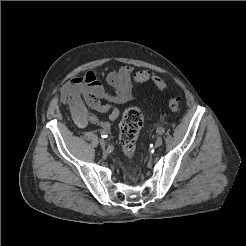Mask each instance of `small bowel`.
<instances>
[{"label":"small bowel","instance_id":"small-bowel-1","mask_svg":"<svg viewBox=\"0 0 246 246\" xmlns=\"http://www.w3.org/2000/svg\"><path fill=\"white\" fill-rule=\"evenodd\" d=\"M131 75L129 66L109 72L106 81L113 89L109 93L99 81L98 74L88 71L65 86L61 100L70 106L73 120L79 127L95 124L109 130L120 115L118 106L133 100ZM90 110L107 113L109 120L99 119Z\"/></svg>","mask_w":246,"mask_h":246}]
</instances>
